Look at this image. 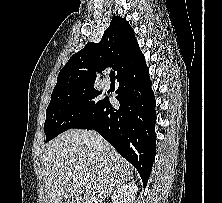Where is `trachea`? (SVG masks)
<instances>
[{
	"label": "trachea",
	"mask_w": 222,
	"mask_h": 203,
	"mask_svg": "<svg viewBox=\"0 0 222 203\" xmlns=\"http://www.w3.org/2000/svg\"><path fill=\"white\" fill-rule=\"evenodd\" d=\"M110 80H115V71H111L109 74Z\"/></svg>",
	"instance_id": "1"
}]
</instances>
